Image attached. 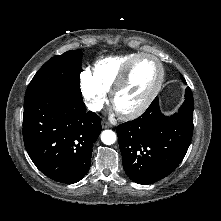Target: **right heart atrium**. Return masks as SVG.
Returning a JSON list of instances; mask_svg holds the SVG:
<instances>
[{"label":"right heart atrium","instance_id":"d8ad5b80","mask_svg":"<svg viewBox=\"0 0 221 221\" xmlns=\"http://www.w3.org/2000/svg\"><path fill=\"white\" fill-rule=\"evenodd\" d=\"M80 89L88 109L91 111L100 110L107 99V93L88 70L83 71L80 75Z\"/></svg>","mask_w":221,"mask_h":221}]
</instances>
